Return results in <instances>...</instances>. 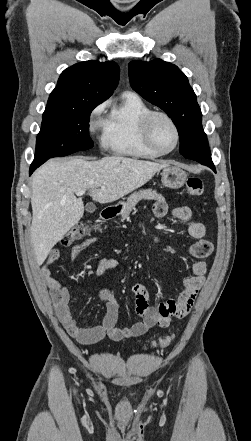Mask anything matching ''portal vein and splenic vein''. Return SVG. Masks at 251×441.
<instances>
[{"mask_svg": "<svg viewBox=\"0 0 251 441\" xmlns=\"http://www.w3.org/2000/svg\"><path fill=\"white\" fill-rule=\"evenodd\" d=\"M101 189L104 190V189H105V186H101ZM85 191H86V190H80V191L76 192L75 194H76L77 196H82L83 194H85Z\"/></svg>", "mask_w": 251, "mask_h": 441, "instance_id": "1", "label": "portal vein and splenic vein"}]
</instances>
